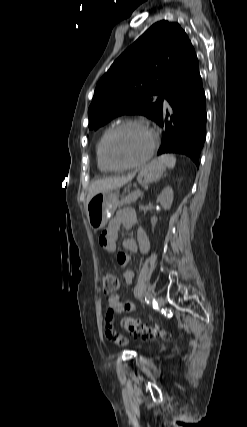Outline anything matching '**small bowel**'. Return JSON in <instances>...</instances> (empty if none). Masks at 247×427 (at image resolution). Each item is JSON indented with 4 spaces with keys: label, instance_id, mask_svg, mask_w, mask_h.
<instances>
[{
    "label": "small bowel",
    "instance_id": "1",
    "mask_svg": "<svg viewBox=\"0 0 247 427\" xmlns=\"http://www.w3.org/2000/svg\"><path fill=\"white\" fill-rule=\"evenodd\" d=\"M127 230L135 229L136 238H126L122 240V246L130 253H135L140 250L143 254H147L150 250V242L145 231L136 226V215L132 209L120 210L114 218L111 219L107 229L100 237V245L108 252L116 253L118 264L125 269L124 280L130 285L133 282L134 274L131 270L126 269L130 261V256L125 252H117V243L121 228ZM135 310V305L130 301H122L117 294L109 297L108 309L104 319V333L106 338L116 346L127 344V339L118 334L114 329L115 315L132 312Z\"/></svg>",
    "mask_w": 247,
    "mask_h": 427
}]
</instances>
